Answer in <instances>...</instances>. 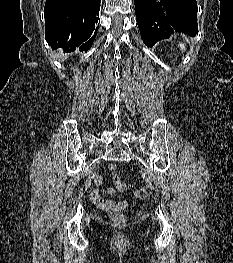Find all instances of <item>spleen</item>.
I'll use <instances>...</instances> for the list:
<instances>
[{
	"label": "spleen",
	"instance_id": "3e777b00",
	"mask_svg": "<svg viewBox=\"0 0 233 263\" xmlns=\"http://www.w3.org/2000/svg\"><path fill=\"white\" fill-rule=\"evenodd\" d=\"M178 46L180 47L181 51H185L186 47L183 43H179Z\"/></svg>",
	"mask_w": 233,
	"mask_h": 263
}]
</instances>
